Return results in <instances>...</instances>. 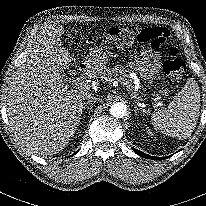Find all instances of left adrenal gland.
I'll list each match as a JSON object with an SVG mask.
<instances>
[{
    "mask_svg": "<svg viewBox=\"0 0 206 206\" xmlns=\"http://www.w3.org/2000/svg\"><path fill=\"white\" fill-rule=\"evenodd\" d=\"M134 108H135V115H137V113H138V108H137V106H134Z\"/></svg>",
    "mask_w": 206,
    "mask_h": 206,
    "instance_id": "a2214340",
    "label": "left adrenal gland"
}]
</instances>
